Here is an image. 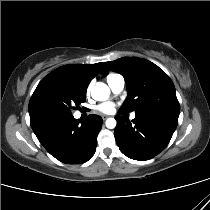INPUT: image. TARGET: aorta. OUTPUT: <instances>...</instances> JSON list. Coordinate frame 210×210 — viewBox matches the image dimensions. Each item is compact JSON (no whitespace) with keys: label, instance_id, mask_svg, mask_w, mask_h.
Returning a JSON list of instances; mask_svg holds the SVG:
<instances>
[{"label":"aorta","instance_id":"762f6f07","mask_svg":"<svg viewBox=\"0 0 210 210\" xmlns=\"http://www.w3.org/2000/svg\"><path fill=\"white\" fill-rule=\"evenodd\" d=\"M92 98L97 101H104L110 95L109 87L104 83H97L91 91ZM116 120L114 118H108L106 120V127L109 129H113L116 127Z\"/></svg>","mask_w":210,"mask_h":210}]
</instances>
